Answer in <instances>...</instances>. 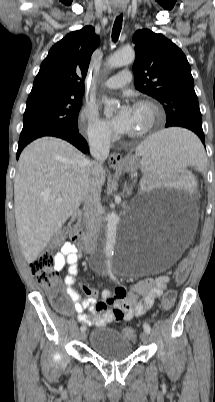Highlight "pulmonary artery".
<instances>
[{
    "label": "pulmonary artery",
    "instance_id": "1",
    "mask_svg": "<svg viewBox=\"0 0 215 402\" xmlns=\"http://www.w3.org/2000/svg\"><path fill=\"white\" fill-rule=\"evenodd\" d=\"M130 80H131V73L129 71H121L118 74L107 79L104 82V86L110 89H117L128 84Z\"/></svg>",
    "mask_w": 215,
    "mask_h": 402
}]
</instances>
